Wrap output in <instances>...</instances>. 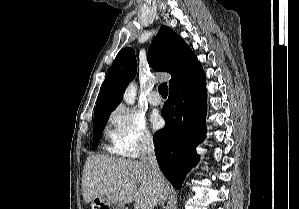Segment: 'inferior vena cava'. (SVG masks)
Here are the masks:
<instances>
[{
    "instance_id": "obj_1",
    "label": "inferior vena cava",
    "mask_w": 299,
    "mask_h": 209,
    "mask_svg": "<svg viewBox=\"0 0 299 209\" xmlns=\"http://www.w3.org/2000/svg\"><path fill=\"white\" fill-rule=\"evenodd\" d=\"M140 160L143 166L148 170L158 187H161L163 182V174L159 169L156 157L153 141L150 137H145L141 142V154ZM163 196H160L158 205L162 203ZM157 206V204H156Z\"/></svg>"
}]
</instances>
